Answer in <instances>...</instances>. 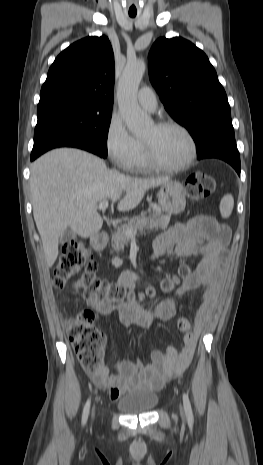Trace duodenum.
Here are the masks:
<instances>
[{"instance_id": "obj_1", "label": "duodenum", "mask_w": 263, "mask_h": 465, "mask_svg": "<svg viewBox=\"0 0 263 465\" xmlns=\"http://www.w3.org/2000/svg\"><path fill=\"white\" fill-rule=\"evenodd\" d=\"M108 243V236L106 234H99L92 240V246L95 250H102Z\"/></svg>"}]
</instances>
